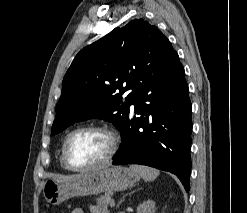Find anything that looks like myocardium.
Segmentation results:
<instances>
[{
    "label": "myocardium",
    "mask_w": 247,
    "mask_h": 213,
    "mask_svg": "<svg viewBox=\"0 0 247 213\" xmlns=\"http://www.w3.org/2000/svg\"><path fill=\"white\" fill-rule=\"evenodd\" d=\"M83 131H98V132H102V133L106 134L110 140V147H109V150L107 152V155L101 161H99L95 164L89 165V166L79 167V166L73 165L70 162V160L68 158V154H67V145H68L70 138L73 135H75L79 132H83ZM118 147H119V138L113 129H111L105 125L80 126V127L73 129L72 131H70L66 135V137L63 141V144H62V148H61V159H62L64 166L68 170L74 171V172H87V171L99 169V168H102V167L108 165L113 160V158L115 157V155L118 151Z\"/></svg>",
    "instance_id": "1"
}]
</instances>
